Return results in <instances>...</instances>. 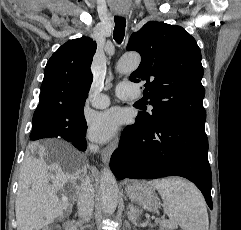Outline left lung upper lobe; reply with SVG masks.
I'll use <instances>...</instances> for the list:
<instances>
[{
    "label": "left lung upper lobe",
    "instance_id": "5c2ea615",
    "mask_svg": "<svg viewBox=\"0 0 241 230\" xmlns=\"http://www.w3.org/2000/svg\"><path fill=\"white\" fill-rule=\"evenodd\" d=\"M127 50L141 55L129 79L142 84L144 97L153 106L152 114L139 112V121L149 127L165 117L205 123L201 51L185 29L150 21L131 35Z\"/></svg>",
    "mask_w": 241,
    "mask_h": 230
}]
</instances>
